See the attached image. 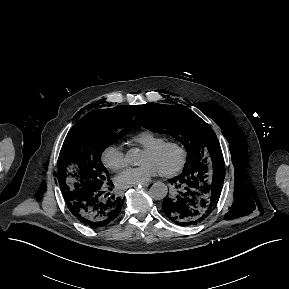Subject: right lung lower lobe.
Listing matches in <instances>:
<instances>
[{
    "mask_svg": "<svg viewBox=\"0 0 289 289\" xmlns=\"http://www.w3.org/2000/svg\"><path fill=\"white\" fill-rule=\"evenodd\" d=\"M111 185L112 182L108 181L101 187L65 198L69 210L77 220L91 228L111 223L119 214L125 199L111 193Z\"/></svg>",
    "mask_w": 289,
    "mask_h": 289,
    "instance_id": "right-lung-lower-lobe-1",
    "label": "right lung lower lobe"
}]
</instances>
